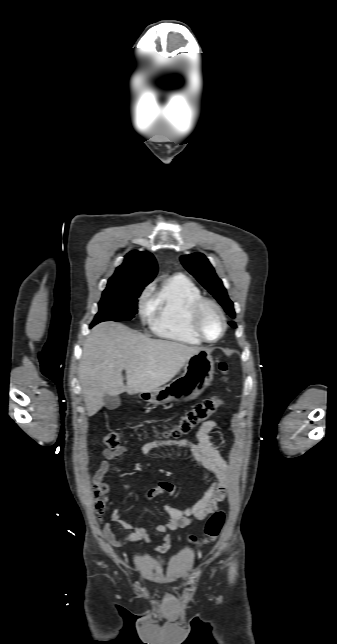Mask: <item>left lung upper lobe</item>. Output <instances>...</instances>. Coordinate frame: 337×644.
I'll list each match as a JSON object with an SVG mask.
<instances>
[{"label": "left lung upper lobe", "mask_w": 337, "mask_h": 644, "mask_svg": "<svg viewBox=\"0 0 337 644\" xmlns=\"http://www.w3.org/2000/svg\"><path fill=\"white\" fill-rule=\"evenodd\" d=\"M183 266L215 297L225 311L235 318L232 301L229 299L221 279L216 275L214 268L202 253H193L180 257ZM236 327L235 323H230Z\"/></svg>", "instance_id": "5c2ea615"}]
</instances>
